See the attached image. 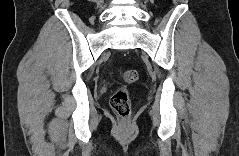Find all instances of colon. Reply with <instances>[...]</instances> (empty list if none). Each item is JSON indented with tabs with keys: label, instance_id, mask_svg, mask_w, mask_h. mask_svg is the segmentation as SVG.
<instances>
[{
	"label": "colon",
	"instance_id": "obj_1",
	"mask_svg": "<svg viewBox=\"0 0 239 156\" xmlns=\"http://www.w3.org/2000/svg\"><path fill=\"white\" fill-rule=\"evenodd\" d=\"M121 78L128 83H133L138 79V72L136 70H126L122 72ZM112 110L122 118H125L130 113V97L126 89L120 88L116 90L110 99Z\"/></svg>",
	"mask_w": 239,
	"mask_h": 156
}]
</instances>
